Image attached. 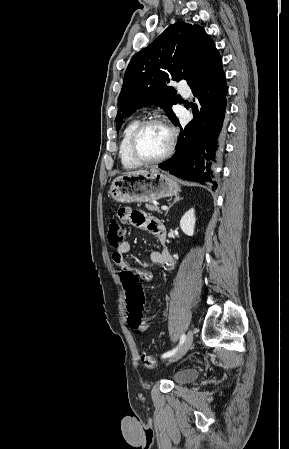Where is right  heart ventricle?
Returning a JSON list of instances; mask_svg holds the SVG:
<instances>
[{"label":"right heart ventricle","mask_w":289,"mask_h":449,"mask_svg":"<svg viewBox=\"0 0 289 449\" xmlns=\"http://www.w3.org/2000/svg\"><path fill=\"white\" fill-rule=\"evenodd\" d=\"M139 122L140 120L138 118L130 120L126 124L122 133V138L119 146V157L122 165L127 169H134L141 165L132 157L130 152V138Z\"/></svg>","instance_id":"right-heart-ventricle-1"}]
</instances>
